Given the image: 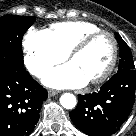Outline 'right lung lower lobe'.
<instances>
[{
  "mask_svg": "<svg viewBox=\"0 0 136 136\" xmlns=\"http://www.w3.org/2000/svg\"><path fill=\"white\" fill-rule=\"evenodd\" d=\"M47 91L25 70H0V136H28Z\"/></svg>",
  "mask_w": 136,
  "mask_h": 136,
  "instance_id": "right-lung-lower-lobe-1",
  "label": "right lung lower lobe"
}]
</instances>
